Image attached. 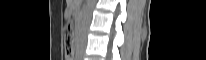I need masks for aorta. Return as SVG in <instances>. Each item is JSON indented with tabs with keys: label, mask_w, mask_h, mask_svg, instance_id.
<instances>
[{
	"label": "aorta",
	"mask_w": 206,
	"mask_h": 60,
	"mask_svg": "<svg viewBox=\"0 0 206 60\" xmlns=\"http://www.w3.org/2000/svg\"><path fill=\"white\" fill-rule=\"evenodd\" d=\"M96 0H87V5L83 12V19L78 28V37L80 41V48L85 47V41L87 38V32L91 22L92 11L94 9Z\"/></svg>",
	"instance_id": "obj_1"
}]
</instances>
